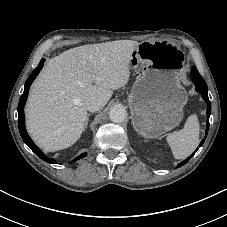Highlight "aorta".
Here are the masks:
<instances>
[{
  "label": "aorta",
  "mask_w": 227,
  "mask_h": 227,
  "mask_svg": "<svg viewBox=\"0 0 227 227\" xmlns=\"http://www.w3.org/2000/svg\"><path fill=\"white\" fill-rule=\"evenodd\" d=\"M127 113L124 107L114 106L109 112V118L114 123H121L126 119Z\"/></svg>",
  "instance_id": "obj_1"
}]
</instances>
